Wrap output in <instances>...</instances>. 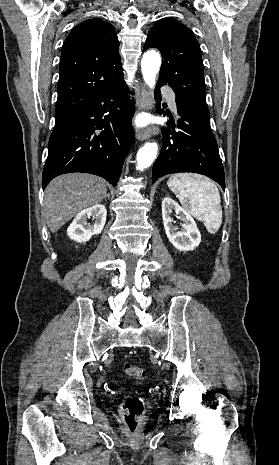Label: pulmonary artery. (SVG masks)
<instances>
[{
    "mask_svg": "<svg viewBox=\"0 0 279 465\" xmlns=\"http://www.w3.org/2000/svg\"><path fill=\"white\" fill-rule=\"evenodd\" d=\"M163 92L164 94L166 95L167 99H168V102L170 104V107L173 111H176L177 107H176V100H175V95L174 93L169 90L168 88H163Z\"/></svg>",
    "mask_w": 279,
    "mask_h": 465,
    "instance_id": "e3ab8cb5",
    "label": "pulmonary artery"
}]
</instances>
